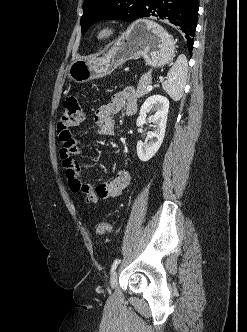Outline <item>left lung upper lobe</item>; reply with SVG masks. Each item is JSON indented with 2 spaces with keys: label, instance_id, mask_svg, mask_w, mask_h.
Listing matches in <instances>:
<instances>
[{
  "label": "left lung upper lobe",
  "instance_id": "1",
  "mask_svg": "<svg viewBox=\"0 0 247 332\" xmlns=\"http://www.w3.org/2000/svg\"><path fill=\"white\" fill-rule=\"evenodd\" d=\"M147 0H84L81 17L82 33L94 23L104 19L127 22L138 19Z\"/></svg>",
  "mask_w": 247,
  "mask_h": 332
}]
</instances>
